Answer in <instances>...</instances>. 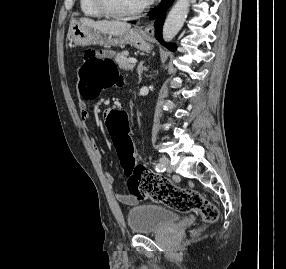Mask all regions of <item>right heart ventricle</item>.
Here are the masks:
<instances>
[{
	"instance_id": "obj_1",
	"label": "right heart ventricle",
	"mask_w": 286,
	"mask_h": 269,
	"mask_svg": "<svg viewBox=\"0 0 286 269\" xmlns=\"http://www.w3.org/2000/svg\"><path fill=\"white\" fill-rule=\"evenodd\" d=\"M80 10L84 16L100 18L104 15L98 10L94 0H80Z\"/></svg>"
}]
</instances>
